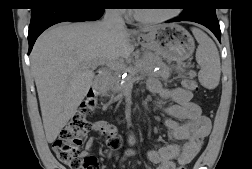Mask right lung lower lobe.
Here are the masks:
<instances>
[{
    "label": "right lung lower lobe",
    "instance_id": "obj_1",
    "mask_svg": "<svg viewBox=\"0 0 252 169\" xmlns=\"http://www.w3.org/2000/svg\"><path fill=\"white\" fill-rule=\"evenodd\" d=\"M105 7L84 0H44L31 8L28 41L29 53L37 37L48 27L65 21H95L104 13Z\"/></svg>",
    "mask_w": 252,
    "mask_h": 169
}]
</instances>
